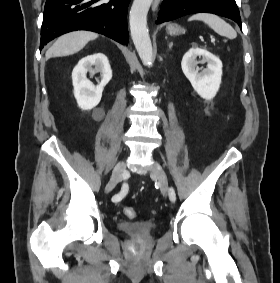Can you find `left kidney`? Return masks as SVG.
I'll use <instances>...</instances> for the list:
<instances>
[{
  "label": "left kidney",
  "instance_id": "obj_1",
  "mask_svg": "<svg viewBox=\"0 0 280 283\" xmlns=\"http://www.w3.org/2000/svg\"><path fill=\"white\" fill-rule=\"evenodd\" d=\"M197 57H202L201 63H207V68L201 72L197 66ZM181 67L200 97L206 100L215 97L222 77V62L218 57L205 49L192 47L184 54Z\"/></svg>",
  "mask_w": 280,
  "mask_h": 283
}]
</instances>
